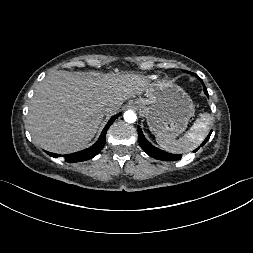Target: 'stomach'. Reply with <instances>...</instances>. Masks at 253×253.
I'll list each match as a JSON object with an SVG mask.
<instances>
[{"mask_svg":"<svg viewBox=\"0 0 253 253\" xmlns=\"http://www.w3.org/2000/svg\"><path fill=\"white\" fill-rule=\"evenodd\" d=\"M133 105L146 118L153 134L170 139L185 131L194 113L190 96L169 82L150 86L146 98H136Z\"/></svg>","mask_w":253,"mask_h":253,"instance_id":"obj_1","label":"stomach"}]
</instances>
